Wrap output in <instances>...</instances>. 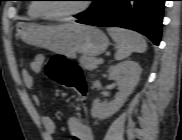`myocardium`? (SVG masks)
<instances>
[{
  "label": "myocardium",
  "mask_w": 182,
  "mask_h": 140,
  "mask_svg": "<svg viewBox=\"0 0 182 140\" xmlns=\"http://www.w3.org/2000/svg\"><path fill=\"white\" fill-rule=\"evenodd\" d=\"M88 8H89L88 2H85L80 8H78L74 11L65 12V13L48 12L42 4H38L36 7L40 16L45 17V18H49V19H57V20L77 16V15L85 12Z\"/></svg>",
  "instance_id": "obj_1"
}]
</instances>
